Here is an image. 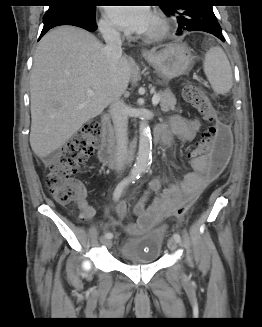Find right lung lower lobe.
Listing matches in <instances>:
<instances>
[{"label":"right lung lower lobe","mask_w":262,"mask_h":327,"mask_svg":"<svg viewBox=\"0 0 262 327\" xmlns=\"http://www.w3.org/2000/svg\"><path fill=\"white\" fill-rule=\"evenodd\" d=\"M40 38L51 28L60 25H73L93 32L97 29L95 14H86L68 8H50L43 17Z\"/></svg>","instance_id":"98d812e1"}]
</instances>
